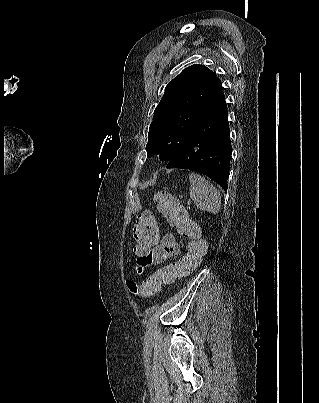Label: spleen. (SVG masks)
<instances>
[{"label": "spleen", "mask_w": 319, "mask_h": 403, "mask_svg": "<svg viewBox=\"0 0 319 403\" xmlns=\"http://www.w3.org/2000/svg\"><path fill=\"white\" fill-rule=\"evenodd\" d=\"M190 197L197 208L216 214L221 207L220 192L199 174H189Z\"/></svg>", "instance_id": "1"}]
</instances>
